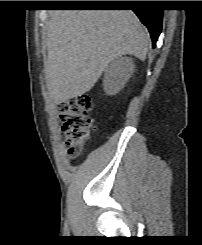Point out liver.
I'll return each mask as SVG.
<instances>
[{"mask_svg": "<svg viewBox=\"0 0 202 245\" xmlns=\"http://www.w3.org/2000/svg\"><path fill=\"white\" fill-rule=\"evenodd\" d=\"M47 26L45 78L55 103L91 90L123 55L145 60L150 45L131 10H55Z\"/></svg>", "mask_w": 202, "mask_h": 245, "instance_id": "liver-1", "label": "liver"}]
</instances>
